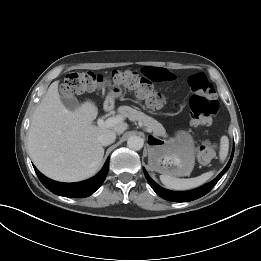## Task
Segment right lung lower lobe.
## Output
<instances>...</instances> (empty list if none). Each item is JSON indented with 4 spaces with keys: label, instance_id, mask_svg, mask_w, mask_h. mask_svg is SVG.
<instances>
[{
    "label": "right lung lower lobe",
    "instance_id": "obj_1",
    "mask_svg": "<svg viewBox=\"0 0 261 261\" xmlns=\"http://www.w3.org/2000/svg\"><path fill=\"white\" fill-rule=\"evenodd\" d=\"M34 169L42 184L54 194L69 198H84L93 194L104 182L109 169V159L95 177L77 183L56 182L45 177L35 167Z\"/></svg>",
    "mask_w": 261,
    "mask_h": 261
}]
</instances>
